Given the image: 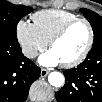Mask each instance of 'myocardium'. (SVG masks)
<instances>
[{"label":"myocardium","mask_w":102,"mask_h":102,"mask_svg":"<svg viewBox=\"0 0 102 102\" xmlns=\"http://www.w3.org/2000/svg\"><path fill=\"white\" fill-rule=\"evenodd\" d=\"M77 23H83L87 29H88V41L87 44L83 50V52L79 55V57H77L75 60L70 61V62H65V63H61L63 67L66 68H71V67H75L78 66L79 64H81L86 57L88 56L92 44H93V39H94V32H93V28L91 26V24L89 23L88 20L84 19V18H76L68 23H66L61 29H59L54 35L53 37L50 39L49 41V48L52 49L53 45L58 42L59 40H61L65 34Z\"/></svg>","instance_id":"obj_1"}]
</instances>
